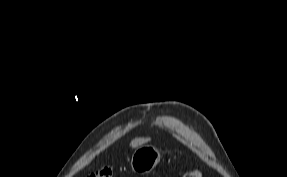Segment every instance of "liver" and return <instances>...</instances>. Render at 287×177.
Returning a JSON list of instances; mask_svg holds the SVG:
<instances>
[{
  "label": "liver",
  "instance_id": "6515ba94",
  "mask_svg": "<svg viewBox=\"0 0 287 177\" xmlns=\"http://www.w3.org/2000/svg\"><path fill=\"white\" fill-rule=\"evenodd\" d=\"M150 139L149 138H136L131 141L130 145L132 148H137L145 143H147Z\"/></svg>",
  "mask_w": 287,
  "mask_h": 177
}]
</instances>
